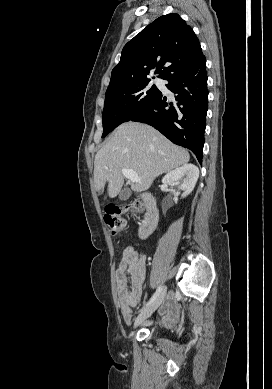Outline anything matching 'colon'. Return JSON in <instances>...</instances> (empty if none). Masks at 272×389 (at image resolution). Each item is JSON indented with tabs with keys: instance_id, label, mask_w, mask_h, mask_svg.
Listing matches in <instances>:
<instances>
[{
	"instance_id": "1",
	"label": "colon",
	"mask_w": 272,
	"mask_h": 389,
	"mask_svg": "<svg viewBox=\"0 0 272 389\" xmlns=\"http://www.w3.org/2000/svg\"><path fill=\"white\" fill-rule=\"evenodd\" d=\"M143 208V205L140 201H134L129 206H127L124 209H120L118 207H110L106 210V213L104 215V221L108 228L110 229L112 234H116L124 226V219L122 217V214L124 211H131V212H140Z\"/></svg>"
}]
</instances>
